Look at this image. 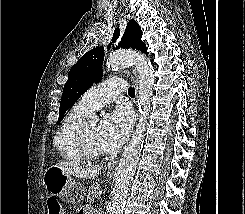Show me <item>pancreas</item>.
<instances>
[{
	"label": "pancreas",
	"mask_w": 245,
	"mask_h": 214,
	"mask_svg": "<svg viewBox=\"0 0 245 214\" xmlns=\"http://www.w3.org/2000/svg\"><path fill=\"white\" fill-rule=\"evenodd\" d=\"M99 190V185H91L88 189L86 199L89 203L94 202V199L96 198L97 191Z\"/></svg>",
	"instance_id": "cf45deb5"
}]
</instances>
